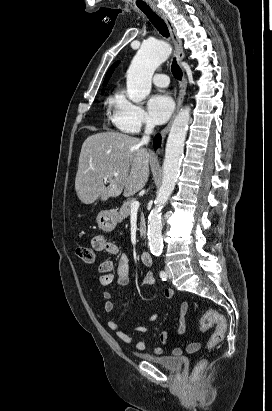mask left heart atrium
Instances as JSON below:
<instances>
[{"instance_id": "39dd6f15", "label": "left heart atrium", "mask_w": 272, "mask_h": 411, "mask_svg": "<svg viewBox=\"0 0 272 411\" xmlns=\"http://www.w3.org/2000/svg\"><path fill=\"white\" fill-rule=\"evenodd\" d=\"M173 101L166 94H157L148 101L151 120L156 124L164 123L173 111Z\"/></svg>"}]
</instances>
